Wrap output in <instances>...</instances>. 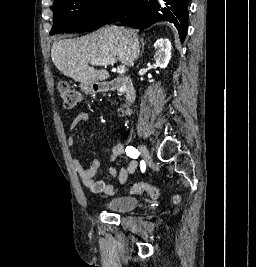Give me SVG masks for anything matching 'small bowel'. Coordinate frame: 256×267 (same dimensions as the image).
Returning a JSON list of instances; mask_svg holds the SVG:
<instances>
[{"mask_svg": "<svg viewBox=\"0 0 256 267\" xmlns=\"http://www.w3.org/2000/svg\"><path fill=\"white\" fill-rule=\"evenodd\" d=\"M88 119V113L85 110H81L72 119L70 123V129L75 131L80 124L87 122ZM67 143L69 146H74L75 138L73 136H69ZM123 153L124 148L121 144L113 146L111 150L110 161L112 163L115 162L120 156L123 155ZM72 164L83 185L89 192L93 194L104 193L107 196H112L117 193L118 187L115 183L95 179V176L100 168V162L97 159L89 160V166L87 168L83 167L77 159H73ZM137 167L138 160L131 159L127 166H123L119 169L111 167L110 172L111 175L116 178L121 185H123L126 183L128 177L136 171Z\"/></svg>", "mask_w": 256, "mask_h": 267, "instance_id": "1", "label": "small bowel"}]
</instances>
